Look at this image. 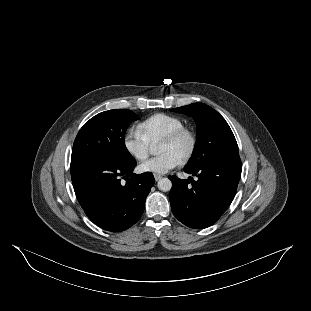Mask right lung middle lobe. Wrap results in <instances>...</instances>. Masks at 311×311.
Here are the masks:
<instances>
[{
  "mask_svg": "<svg viewBox=\"0 0 311 311\" xmlns=\"http://www.w3.org/2000/svg\"><path fill=\"white\" fill-rule=\"evenodd\" d=\"M137 115L128 109L101 112L78 132L73 144L71 163L87 157H99L130 164L134 158L125 146V132Z\"/></svg>",
  "mask_w": 311,
  "mask_h": 311,
  "instance_id": "1",
  "label": "right lung middle lobe"
}]
</instances>
